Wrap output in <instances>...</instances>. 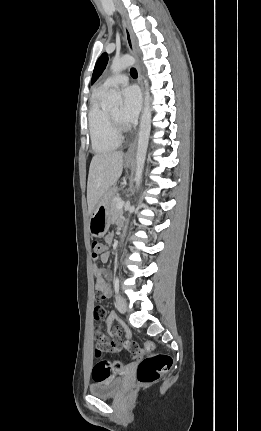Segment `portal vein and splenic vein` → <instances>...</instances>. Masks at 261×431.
<instances>
[{"label":"portal vein and splenic vein","instance_id":"1","mask_svg":"<svg viewBox=\"0 0 261 431\" xmlns=\"http://www.w3.org/2000/svg\"><path fill=\"white\" fill-rule=\"evenodd\" d=\"M124 206V201H119L118 203H117V208H122Z\"/></svg>","mask_w":261,"mask_h":431}]
</instances>
